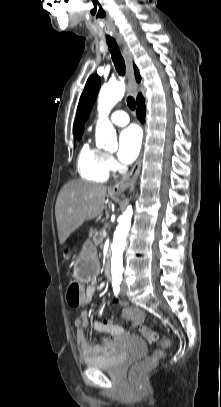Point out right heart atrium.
Instances as JSON below:
<instances>
[{
    "mask_svg": "<svg viewBox=\"0 0 221 407\" xmlns=\"http://www.w3.org/2000/svg\"><path fill=\"white\" fill-rule=\"evenodd\" d=\"M105 165L109 172L114 171L117 168L116 160L109 154L105 155Z\"/></svg>",
    "mask_w": 221,
    "mask_h": 407,
    "instance_id": "d8ad5b80",
    "label": "right heart atrium"
}]
</instances>
